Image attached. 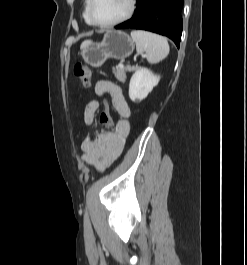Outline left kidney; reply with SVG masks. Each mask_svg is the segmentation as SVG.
<instances>
[{
    "mask_svg": "<svg viewBox=\"0 0 247 265\" xmlns=\"http://www.w3.org/2000/svg\"><path fill=\"white\" fill-rule=\"evenodd\" d=\"M160 76L154 75L148 69H137L129 84V97L132 101L145 99L159 83Z\"/></svg>",
    "mask_w": 247,
    "mask_h": 265,
    "instance_id": "1",
    "label": "left kidney"
}]
</instances>
